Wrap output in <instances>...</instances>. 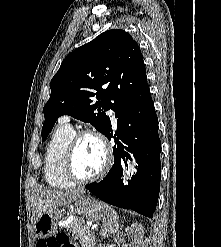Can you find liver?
<instances>
[{"mask_svg": "<svg viewBox=\"0 0 221 247\" xmlns=\"http://www.w3.org/2000/svg\"><path fill=\"white\" fill-rule=\"evenodd\" d=\"M83 190L74 189L66 191L41 190L34 198V218L33 221L41 216L45 211H50L65 205L71 204L81 196Z\"/></svg>", "mask_w": 221, "mask_h": 247, "instance_id": "6515ba94", "label": "liver"}]
</instances>
